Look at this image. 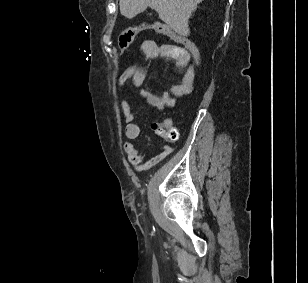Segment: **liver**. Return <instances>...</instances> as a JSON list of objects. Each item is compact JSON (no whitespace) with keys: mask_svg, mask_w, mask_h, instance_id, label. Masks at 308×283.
Instances as JSON below:
<instances>
[{"mask_svg":"<svg viewBox=\"0 0 308 283\" xmlns=\"http://www.w3.org/2000/svg\"><path fill=\"white\" fill-rule=\"evenodd\" d=\"M203 0H120V13L132 19L147 7L154 9L159 18L177 34L187 37L190 33L188 20Z\"/></svg>","mask_w":308,"mask_h":283,"instance_id":"6515ba94","label":"liver"}]
</instances>
